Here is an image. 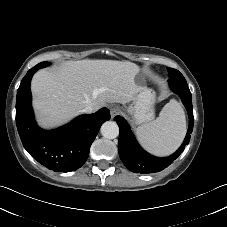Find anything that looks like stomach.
<instances>
[{
  "instance_id": "obj_1",
  "label": "stomach",
  "mask_w": 227,
  "mask_h": 227,
  "mask_svg": "<svg viewBox=\"0 0 227 227\" xmlns=\"http://www.w3.org/2000/svg\"><path fill=\"white\" fill-rule=\"evenodd\" d=\"M136 83L140 87V91L133 99V103L126 108V111L132 115L136 124H142L154 118L155 93L145 86L143 79H136Z\"/></svg>"
}]
</instances>
